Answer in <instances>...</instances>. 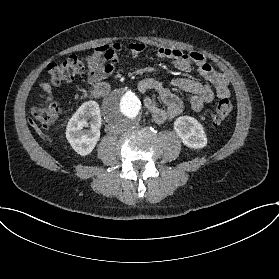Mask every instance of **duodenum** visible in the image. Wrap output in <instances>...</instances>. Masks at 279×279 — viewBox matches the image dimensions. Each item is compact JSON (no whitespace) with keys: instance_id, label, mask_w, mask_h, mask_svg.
Returning <instances> with one entry per match:
<instances>
[{"instance_id":"obj_1","label":"duodenum","mask_w":279,"mask_h":279,"mask_svg":"<svg viewBox=\"0 0 279 279\" xmlns=\"http://www.w3.org/2000/svg\"><path fill=\"white\" fill-rule=\"evenodd\" d=\"M109 90H110V86L107 83H100L93 87L91 94L94 97H98L108 93Z\"/></svg>"}]
</instances>
